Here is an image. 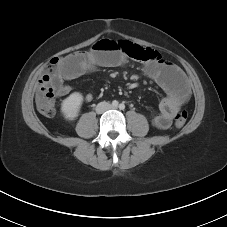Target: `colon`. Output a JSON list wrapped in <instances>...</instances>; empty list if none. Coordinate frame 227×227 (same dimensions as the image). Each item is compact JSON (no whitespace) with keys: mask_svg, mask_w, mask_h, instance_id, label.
Here are the masks:
<instances>
[{"mask_svg":"<svg viewBox=\"0 0 227 227\" xmlns=\"http://www.w3.org/2000/svg\"><path fill=\"white\" fill-rule=\"evenodd\" d=\"M114 41V40H113ZM117 47L123 50L129 57L146 63L155 62L160 59L158 52L150 49L143 48L139 45L132 44L126 41H115ZM60 58H53L49 61L47 66L48 73L45 74L38 82L37 94H36V106L38 111L46 116L52 117L55 112V90L51 82L52 72L58 68L61 63ZM188 118L186 111H180L174 118V124L177 128H181L185 125Z\"/></svg>","mask_w":227,"mask_h":227,"instance_id":"1","label":"colon"}]
</instances>
